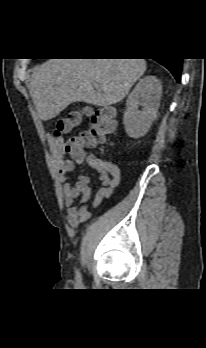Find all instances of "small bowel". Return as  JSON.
<instances>
[{
    "instance_id": "c3829d8e",
    "label": "small bowel",
    "mask_w": 206,
    "mask_h": 348,
    "mask_svg": "<svg viewBox=\"0 0 206 348\" xmlns=\"http://www.w3.org/2000/svg\"><path fill=\"white\" fill-rule=\"evenodd\" d=\"M50 149L57 169L58 179L63 183L62 192L64 204L68 212L69 225L72 228H77L91 216L88 204L92 202V207H97L119 185L121 179L120 168L116 164L104 161L94 155L83 156L80 159L74 158V160L65 158L66 152L64 151L63 139L61 137L51 139ZM75 162H85L98 173L100 185L94 197L90 187L91 179L88 175L80 174L74 184L69 182V172L73 169Z\"/></svg>"
}]
</instances>
